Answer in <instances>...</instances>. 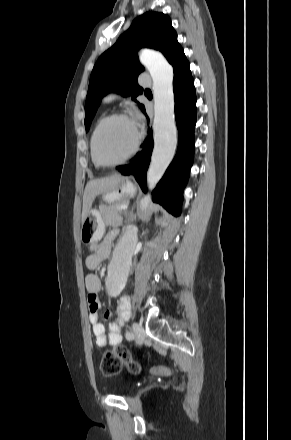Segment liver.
<instances>
[{"mask_svg": "<svg viewBox=\"0 0 291 440\" xmlns=\"http://www.w3.org/2000/svg\"><path fill=\"white\" fill-rule=\"evenodd\" d=\"M124 179L121 175L115 174L110 177L94 179L87 183L83 195L82 222L86 218L95 197L114 189Z\"/></svg>", "mask_w": 291, "mask_h": 440, "instance_id": "6515ba94", "label": "liver"}]
</instances>
